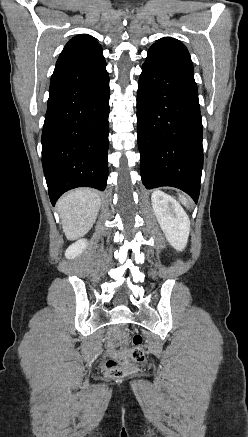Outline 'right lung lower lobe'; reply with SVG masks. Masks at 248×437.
<instances>
[{
	"mask_svg": "<svg viewBox=\"0 0 248 437\" xmlns=\"http://www.w3.org/2000/svg\"><path fill=\"white\" fill-rule=\"evenodd\" d=\"M104 59L57 65L42 131V165L54 205L66 191H103L108 177L109 76Z\"/></svg>",
	"mask_w": 248,
	"mask_h": 437,
	"instance_id": "obj_1",
	"label": "right lung lower lobe"
}]
</instances>
